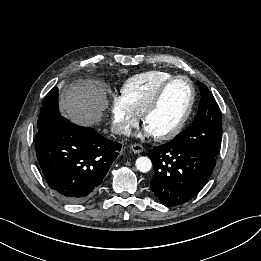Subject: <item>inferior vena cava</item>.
<instances>
[{
	"mask_svg": "<svg viewBox=\"0 0 261 261\" xmlns=\"http://www.w3.org/2000/svg\"><path fill=\"white\" fill-rule=\"evenodd\" d=\"M111 130L115 134H119V135H121V134L128 135L131 131L128 126L121 124V123H116V124L112 125Z\"/></svg>",
	"mask_w": 261,
	"mask_h": 261,
	"instance_id": "602c4592",
	"label": "inferior vena cava"
}]
</instances>
